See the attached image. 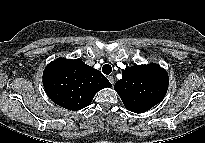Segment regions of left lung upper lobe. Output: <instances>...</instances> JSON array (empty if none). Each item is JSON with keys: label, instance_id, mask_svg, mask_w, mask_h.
<instances>
[{"label": "left lung upper lobe", "instance_id": "1", "mask_svg": "<svg viewBox=\"0 0 205 143\" xmlns=\"http://www.w3.org/2000/svg\"><path fill=\"white\" fill-rule=\"evenodd\" d=\"M167 72L157 64L136 65L122 72L115 83L124 106L134 113H143L158 104L168 89Z\"/></svg>", "mask_w": 205, "mask_h": 143}]
</instances>
